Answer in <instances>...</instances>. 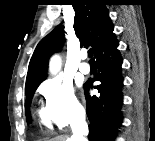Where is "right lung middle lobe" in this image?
Here are the masks:
<instances>
[{
  "instance_id": "obj_1",
  "label": "right lung middle lobe",
  "mask_w": 155,
  "mask_h": 141,
  "mask_svg": "<svg viewBox=\"0 0 155 141\" xmlns=\"http://www.w3.org/2000/svg\"><path fill=\"white\" fill-rule=\"evenodd\" d=\"M40 83H36V84H33V85L29 86V87H26L25 109H26V120L28 122L31 121L30 112H29V109L28 108H29L30 103L32 101V97L34 95V92H35V90L37 89V87L39 86Z\"/></svg>"
}]
</instances>
